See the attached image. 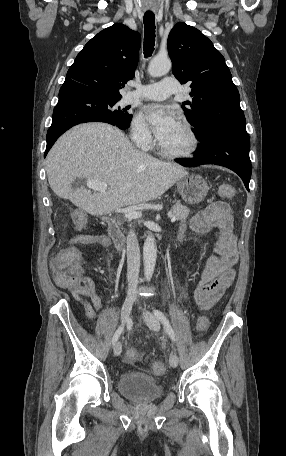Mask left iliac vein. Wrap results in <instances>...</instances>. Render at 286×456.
<instances>
[{
	"mask_svg": "<svg viewBox=\"0 0 286 456\" xmlns=\"http://www.w3.org/2000/svg\"><path fill=\"white\" fill-rule=\"evenodd\" d=\"M144 315H145V322L148 325V327L155 331L158 332L160 330V323L159 320L150 312L147 310H144ZM178 356L176 354H172L169 358V364L171 367L175 368L178 366Z\"/></svg>",
	"mask_w": 286,
	"mask_h": 456,
	"instance_id": "left-iliac-vein-1",
	"label": "left iliac vein"
}]
</instances>
